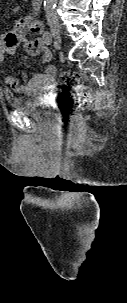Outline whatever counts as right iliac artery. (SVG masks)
I'll return each mask as SVG.
<instances>
[{
	"label": "right iliac artery",
	"instance_id": "1",
	"mask_svg": "<svg viewBox=\"0 0 127 303\" xmlns=\"http://www.w3.org/2000/svg\"><path fill=\"white\" fill-rule=\"evenodd\" d=\"M43 39L47 45L52 43V34L49 31H45L43 34Z\"/></svg>",
	"mask_w": 127,
	"mask_h": 303
}]
</instances>
